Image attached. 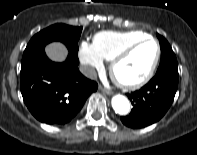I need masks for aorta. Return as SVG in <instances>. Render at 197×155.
<instances>
[{
  "instance_id": "762f6f07",
  "label": "aorta",
  "mask_w": 197,
  "mask_h": 155,
  "mask_svg": "<svg viewBox=\"0 0 197 155\" xmlns=\"http://www.w3.org/2000/svg\"><path fill=\"white\" fill-rule=\"evenodd\" d=\"M111 103L115 113L117 114L126 115L130 111V103L123 95H115L112 98Z\"/></svg>"
}]
</instances>
